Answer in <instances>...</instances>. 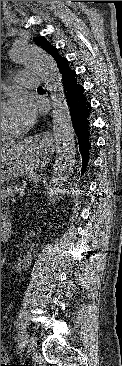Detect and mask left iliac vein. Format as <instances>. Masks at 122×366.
I'll use <instances>...</instances> for the list:
<instances>
[{
  "label": "left iliac vein",
  "mask_w": 122,
  "mask_h": 366,
  "mask_svg": "<svg viewBox=\"0 0 122 366\" xmlns=\"http://www.w3.org/2000/svg\"><path fill=\"white\" fill-rule=\"evenodd\" d=\"M23 343H22V340L20 341V343H19V348L21 349V348H23V347H21V345H22ZM27 350H28V353L29 354H35L36 353V342L32 339V338H28V336H27Z\"/></svg>",
  "instance_id": "4c4485c4"
}]
</instances>
